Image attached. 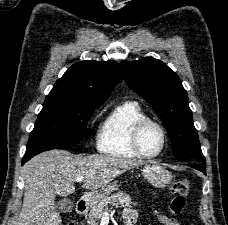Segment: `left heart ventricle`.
Here are the masks:
<instances>
[{"label":"left heart ventricle","mask_w":228,"mask_h":225,"mask_svg":"<svg viewBox=\"0 0 228 225\" xmlns=\"http://www.w3.org/2000/svg\"><path fill=\"white\" fill-rule=\"evenodd\" d=\"M141 143L146 153H157L162 146V135L160 130L153 125L148 126L142 134Z\"/></svg>","instance_id":"left-heart-ventricle-1"}]
</instances>
